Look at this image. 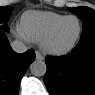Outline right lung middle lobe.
Instances as JSON below:
<instances>
[{"instance_id":"obj_1","label":"right lung middle lobe","mask_w":95,"mask_h":95,"mask_svg":"<svg viewBox=\"0 0 95 95\" xmlns=\"http://www.w3.org/2000/svg\"><path fill=\"white\" fill-rule=\"evenodd\" d=\"M11 11H12V7L10 6L0 7V23H3L2 27L5 29H8L6 22L9 19Z\"/></svg>"}]
</instances>
